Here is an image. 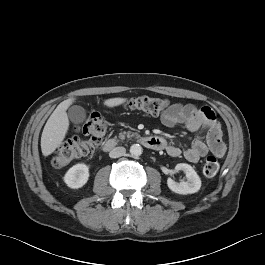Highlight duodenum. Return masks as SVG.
I'll return each mask as SVG.
<instances>
[{
	"instance_id": "1",
	"label": "duodenum",
	"mask_w": 265,
	"mask_h": 265,
	"mask_svg": "<svg viewBox=\"0 0 265 265\" xmlns=\"http://www.w3.org/2000/svg\"><path fill=\"white\" fill-rule=\"evenodd\" d=\"M140 142L147 148L153 149V150H160L164 149L165 147V141L158 136H149V137H142L140 139ZM117 145V141L113 138L108 139L104 145L103 150L106 152L112 151Z\"/></svg>"
}]
</instances>
